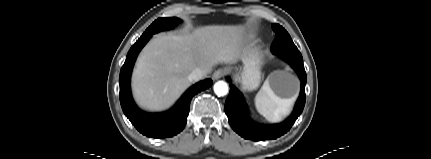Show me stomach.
I'll use <instances>...</instances> for the list:
<instances>
[{
	"label": "stomach",
	"mask_w": 431,
	"mask_h": 159,
	"mask_svg": "<svg viewBox=\"0 0 431 159\" xmlns=\"http://www.w3.org/2000/svg\"><path fill=\"white\" fill-rule=\"evenodd\" d=\"M242 62L244 64L243 70L240 76H237V80L245 90L257 89L261 81L260 56L255 52L248 51L245 52ZM267 81L274 93L281 98H291L298 93V80L289 73L276 71L268 77Z\"/></svg>",
	"instance_id": "0dacf381"
}]
</instances>
